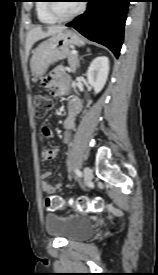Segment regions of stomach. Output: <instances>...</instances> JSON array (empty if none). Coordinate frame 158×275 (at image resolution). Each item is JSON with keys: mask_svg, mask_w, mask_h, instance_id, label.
Returning a JSON list of instances; mask_svg holds the SVG:
<instances>
[{"mask_svg": "<svg viewBox=\"0 0 158 275\" xmlns=\"http://www.w3.org/2000/svg\"><path fill=\"white\" fill-rule=\"evenodd\" d=\"M83 44V38L74 30L66 29L53 35L35 49L30 63L33 75H44L51 64L68 57L70 47Z\"/></svg>", "mask_w": 158, "mask_h": 275, "instance_id": "0dacf381", "label": "stomach"}]
</instances>
